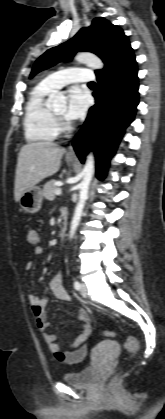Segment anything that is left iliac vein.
I'll return each instance as SVG.
<instances>
[{"label":"left iliac vein","instance_id":"left-iliac-vein-1","mask_svg":"<svg viewBox=\"0 0 165 419\" xmlns=\"http://www.w3.org/2000/svg\"><path fill=\"white\" fill-rule=\"evenodd\" d=\"M80 294L82 295V297L86 298L88 295V290H87V286L85 284H81L80 287Z\"/></svg>","mask_w":165,"mask_h":419}]
</instances>
